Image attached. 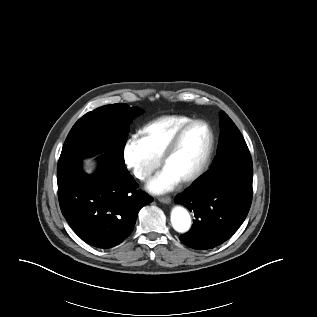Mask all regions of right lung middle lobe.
I'll use <instances>...</instances> for the list:
<instances>
[{
    "instance_id": "obj_1",
    "label": "right lung middle lobe",
    "mask_w": 317,
    "mask_h": 317,
    "mask_svg": "<svg viewBox=\"0 0 317 317\" xmlns=\"http://www.w3.org/2000/svg\"><path fill=\"white\" fill-rule=\"evenodd\" d=\"M140 113L125 103L99 107L80 118L69 132L57 167V173L80 163L84 157L102 151L124 162L129 120Z\"/></svg>"
}]
</instances>
